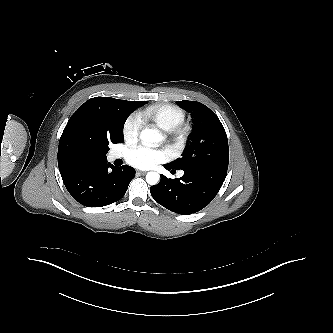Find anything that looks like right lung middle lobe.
Segmentation results:
<instances>
[{"label":"right lung middle lobe","mask_w":333,"mask_h":333,"mask_svg":"<svg viewBox=\"0 0 333 333\" xmlns=\"http://www.w3.org/2000/svg\"><path fill=\"white\" fill-rule=\"evenodd\" d=\"M147 101H127L119 100L113 110V130L110 133H104L95 141L94 155L98 158L105 159L109 151L110 143H122L123 127L128 116L138 107L146 104Z\"/></svg>","instance_id":"dd1d6c3e"}]
</instances>
